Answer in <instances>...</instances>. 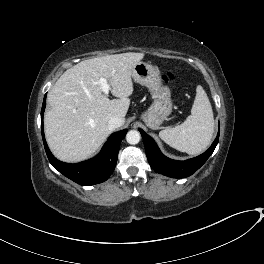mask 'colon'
<instances>
[{"label":"colon","mask_w":264,"mask_h":264,"mask_svg":"<svg viewBox=\"0 0 264 264\" xmlns=\"http://www.w3.org/2000/svg\"><path fill=\"white\" fill-rule=\"evenodd\" d=\"M162 79L165 81V82H172L174 79H175V76L173 73L171 72H167L165 73L163 76H162Z\"/></svg>","instance_id":"obj_1"}]
</instances>
